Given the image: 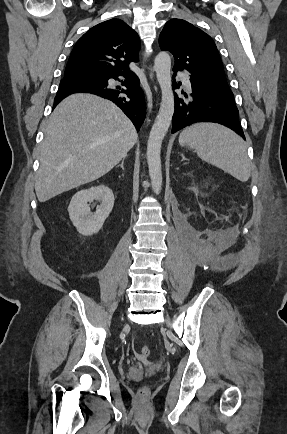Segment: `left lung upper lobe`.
Segmentation results:
<instances>
[{"label": "left lung upper lobe", "mask_w": 287, "mask_h": 434, "mask_svg": "<svg viewBox=\"0 0 287 434\" xmlns=\"http://www.w3.org/2000/svg\"><path fill=\"white\" fill-rule=\"evenodd\" d=\"M159 45L174 55L173 68L185 69L208 83L230 90L217 47L199 28L182 19H171L160 34Z\"/></svg>", "instance_id": "5c2ea615"}]
</instances>
